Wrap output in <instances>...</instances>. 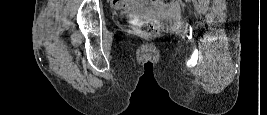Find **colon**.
<instances>
[{"label":"colon","mask_w":267,"mask_h":115,"mask_svg":"<svg viewBox=\"0 0 267 115\" xmlns=\"http://www.w3.org/2000/svg\"><path fill=\"white\" fill-rule=\"evenodd\" d=\"M150 2L154 5H165L173 2L172 0H150ZM136 33L144 38H151L157 36L160 33V29L157 25L151 22H142L140 23L136 29Z\"/></svg>","instance_id":"colon-1"}]
</instances>
